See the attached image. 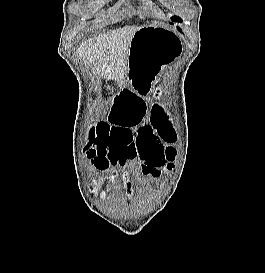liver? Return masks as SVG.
Listing matches in <instances>:
<instances>
[{
  "instance_id": "1",
  "label": "liver",
  "mask_w": 265,
  "mask_h": 273,
  "mask_svg": "<svg viewBox=\"0 0 265 273\" xmlns=\"http://www.w3.org/2000/svg\"><path fill=\"white\" fill-rule=\"evenodd\" d=\"M137 29L136 26L119 28L89 39L81 44L80 54L101 77L121 85L128 75L129 48Z\"/></svg>"
}]
</instances>
